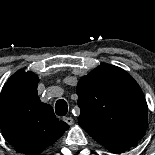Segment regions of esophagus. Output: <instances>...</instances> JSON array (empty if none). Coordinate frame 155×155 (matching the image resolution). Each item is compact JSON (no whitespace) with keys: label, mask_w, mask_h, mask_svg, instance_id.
<instances>
[{"label":"esophagus","mask_w":155,"mask_h":155,"mask_svg":"<svg viewBox=\"0 0 155 155\" xmlns=\"http://www.w3.org/2000/svg\"><path fill=\"white\" fill-rule=\"evenodd\" d=\"M68 125H73L74 124V120L71 117H65L63 119Z\"/></svg>","instance_id":"obj_1"}]
</instances>
